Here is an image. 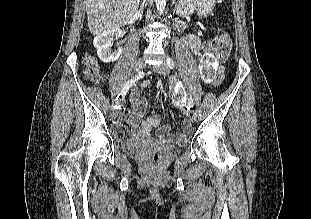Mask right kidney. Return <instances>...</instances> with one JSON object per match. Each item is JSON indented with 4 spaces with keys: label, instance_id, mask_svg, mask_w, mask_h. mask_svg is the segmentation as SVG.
Listing matches in <instances>:
<instances>
[{
    "label": "right kidney",
    "instance_id": "obj_1",
    "mask_svg": "<svg viewBox=\"0 0 311 219\" xmlns=\"http://www.w3.org/2000/svg\"><path fill=\"white\" fill-rule=\"evenodd\" d=\"M121 34L120 29H112L105 31L94 38L93 44L97 48L98 57L105 63L116 61L120 54L121 49L112 50V42Z\"/></svg>",
    "mask_w": 311,
    "mask_h": 219
}]
</instances>
